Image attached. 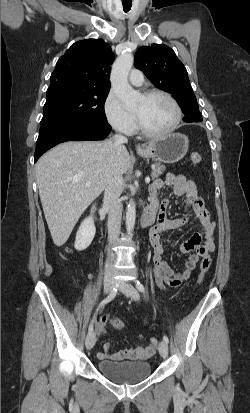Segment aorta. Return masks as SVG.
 <instances>
[{"label": "aorta", "instance_id": "obj_1", "mask_svg": "<svg viewBox=\"0 0 250 413\" xmlns=\"http://www.w3.org/2000/svg\"><path fill=\"white\" fill-rule=\"evenodd\" d=\"M133 62L134 58L131 53L120 55L112 66L110 76L111 85L126 109L134 108L141 99V94L138 91H135L128 82V74ZM135 219V202L133 199H130L126 211V228L128 235L132 234L135 226Z\"/></svg>", "mask_w": 250, "mask_h": 413}]
</instances>
